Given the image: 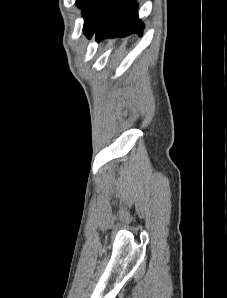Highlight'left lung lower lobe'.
<instances>
[{"label":"left lung lower lobe","mask_w":227,"mask_h":298,"mask_svg":"<svg viewBox=\"0 0 227 298\" xmlns=\"http://www.w3.org/2000/svg\"><path fill=\"white\" fill-rule=\"evenodd\" d=\"M143 24L138 19V4L133 0H108L96 26L87 35L96 38H114L132 33L142 35Z\"/></svg>","instance_id":"obj_1"}]
</instances>
